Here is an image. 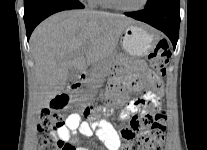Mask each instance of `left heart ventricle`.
<instances>
[{
  "label": "left heart ventricle",
  "mask_w": 207,
  "mask_h": 150,
  "mask_svg": "<svg viewBox=\"0 0 207 150\" xmlns=\"http://www.w3.org/2000/svg\"><path fill=\"white\" fill-rule=\"evenodd\" d=\"M118 1L123 7L126 8H137L143 3V0H118Z\"/></svg>",
  "instance_id": "b2bd125f"
}]
</instances>
